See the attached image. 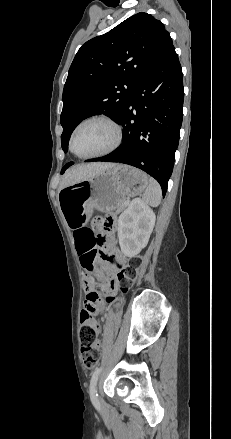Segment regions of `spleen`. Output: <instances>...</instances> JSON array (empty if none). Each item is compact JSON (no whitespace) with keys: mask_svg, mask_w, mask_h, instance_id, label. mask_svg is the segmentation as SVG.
<instances>
[{"mask_svg":"<svg viewBox=\"0 0 231 439\" xmlns=\"http://www.w3.org/2000/svg\"><path fill=\"white\" fill-rule=\"evenodd\" d=\"M161 198L162 191L159 183L150 177L148 180V186L143 194V202L146 205L157 207L160 204Z\"/></svg>","mask_w":231,"mask_h":439,"instance_id":"spleen-1","label":"spleen"}]
</instances>
